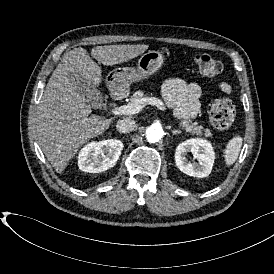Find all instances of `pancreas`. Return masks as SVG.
Wrapping results in <instances>:
<instances>
[{"mask_svg":"<svg viewBox=\"0 0 274 274\" xmlns=\"http://www.w3.org/2000/svg\"><path fill=\"white\" fill-rule=\"evenodd\" d=\"M142 91H136L130 98V102L134 103L137 99H141L143 97ZM182 129H185L186 132H190L196 135H205L206 137L212 136V133L208 128H204L202 125H196L195 123H190V121H182L180 123Z\"/></svg>","mask_w":274,"mask_h":274,"instance_id":"1","label":"pancreas"}]
</instances>
